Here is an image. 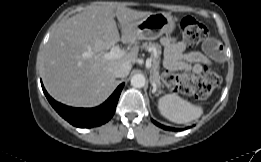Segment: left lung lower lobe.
<instances>
[{
	"instance_id": "obj_1",
	"label": "left lung lower lobe",
	"mask_w": 261,
	"mask_h": 162,
	"mask_svg": "<svg viewBox=\"0 0 261 162\" xmlns=\"http://www.w3.org/2000/svg\"><path fill=\"white\" fill-rule=\"evenodd\" d=\"M152 122H153L155 125H157L158 127H161V128L164 129V130H171V131H178V130H180V129H178V128H170V127L161 125V124H159L158 122H156L155 120H152Z\"/></svg>"
}]
</instances>
